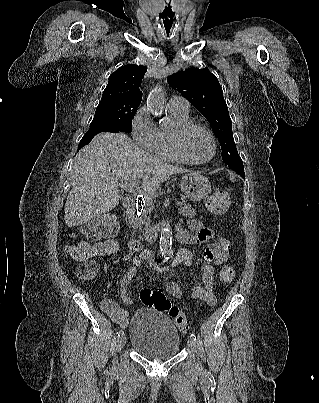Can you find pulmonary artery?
<instances>
[{
  "mask_svg": "<svg viewBox=\"0 0 319 403\" xmlns=\"http://www.w3.org/2000/svg\"><path fill=\"white\" fill-rule=\"evenodd\" d=\"M168 108L177 109L180 111H188L189 103L188 101L181 96H172L168 102Z\"/></svg>",
  "mask_w": 319,
  "mask_h": 403,
  "instance_id": "pulmonary-artery-1",
  "label": "pulmonary artery"
}]
</instances>
